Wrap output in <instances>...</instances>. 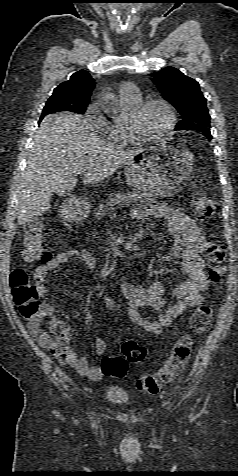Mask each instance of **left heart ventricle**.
Instances as JSON below:
<instances>
[{
  "label": "left heart ventricle",
  "mask_w": 238,
  "mask_h": 476,
  "mask_svg": "<svg viewBox=\"0 0 238 476\" xmlns=\"http://www.w3.org/2000/svg\"><path fill=\"white\" fill-rule=\"evenodd\" d=\"M169 122V115L166 109L159 105L153 104L136 120L137 126L147 134H157L161 132Z\"/></svg>",
  "instance_id": "obj_1"
}]
</instances>
